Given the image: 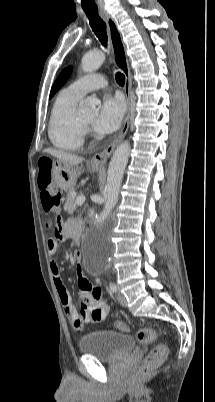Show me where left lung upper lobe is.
Here are the masks:
<instances>
[{
  "label": "left lung upper lobe",
  "mask_w": 215,
  "mask_h": 402,
  "mask_svg": "<svg viewBox=\"0 0 215 402\" xmlns=\"http://www.w3.org/2000/svg\"><path fill=\"white\" fill-rule=\"evenodd\" d=\"M71 72H72V67L69 66L60 73L57 80L55 81V83L52 86V89L50 92V98L64 85L67 78H69V76L71 75Z\"/></svg>",
  "instance_id": "obj_1"
}]
</instances>
